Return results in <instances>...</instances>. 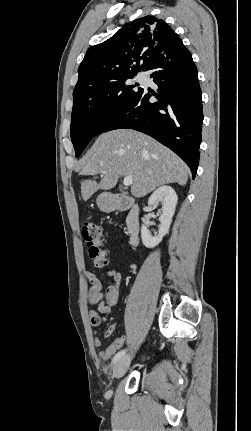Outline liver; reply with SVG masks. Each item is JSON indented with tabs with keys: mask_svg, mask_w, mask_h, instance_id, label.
Here are the masks:
<instances>
[{
	"mask_svg": "<svg viewBox=\"0 0 251 431\" xmlns=\"http://www.w3.org/2000/svg\"><path fill=\"white\" fill-rule=\"evenodd\" d=\"M188 173L184 161L153 138L119 129L101 134L84 157L80 174H101V181H82L81 194L87 201L99 189L114 188L120 176H131V194L141 198L165 184L185 185Z\"/></svg>",
	"mask_w": 251,
	"mask_h": 431,
	"instance_id": "6515ba94",
	"label": "liver"
}]
</instances>
